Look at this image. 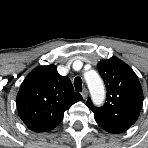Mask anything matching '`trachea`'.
I'll use <instances>...</instances> for the list:
<instances>
[{
	"mask_svg": "<svg viewBox=\"0 0 148 148\" xmlns=\"http://www.w3.org/2000/svg\"><path fill=\"white\" fill-rule=\"evenodd\" d=\"M74 87L76 91H82V79L80 77L74 79Z\"/></svg>",
	"mask_w": 148,
	"mask_h": 148,
	"instance_id": "1",
	"label": "trachea"
}]
</instances>
